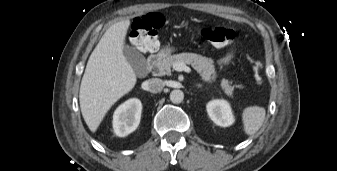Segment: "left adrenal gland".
<instances>
[{"instance_id": "left-adrenal-gland-1", "label": "left adrenal gland", "mask_w": 337, "mask_h": 171, "mask_svg": "<svg viewBox=\"0 0 337 171\" xmlns=\"http://www.w3.org/2000/svg\"><path fill=\"white\" fill-rule=\"evenodd\" d=\"M197 86H198V87H202V85H200V84H198Z\"/></svg>"}]
</instances>
